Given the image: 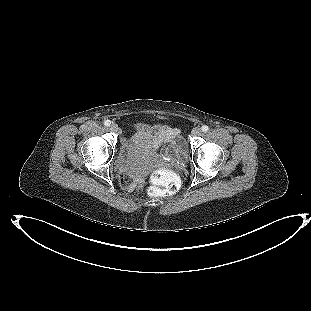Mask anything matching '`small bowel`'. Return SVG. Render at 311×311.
<instances>
[{
	"label": "small bowel",
	"instance_id": "small-bowel-1",
	"mask_svg": "<svg viewBox=\"0 0 311 311\" xmlns=\"http://www.w3.org/2000/svg\"><path fill=\"white\" fill-rule=\"evenodd\" d=\"M138 131L146 138V143L150 144V147H155L159 144H170L175 142L177 150H174V153L182 157L185 154L184 147L177 138L179 132L177 130L172 129L168 125L165 124H156L151 127H147L145 125H140L138 127ZM133 172L136 174L137 169L131 168L129 172H124L123 175L128 179L126 186L130 185L129 175Z\"/></svg>",
	"mask_w": 311,
	"mask_h": 311
}]
</instances>
